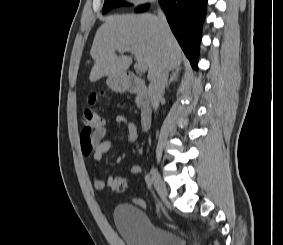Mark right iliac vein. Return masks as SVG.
Segmentation results:
<instances>
[{
  "mask_svg": "<svg viewBox=\"0 0 283 245\" xmlns=\"http://www.w3.org/2000/svg\"><path fill=\"white\" fill-rule=\"evenodd\" d=\"M152 180H153V183H154V186H155V189L158 193V195L160 196V198L163 200V202H167V189L163 183V181L161 180L160 178V175L158 173V171L153 168L152 171Z\"/></svg>",
  "mask_w": 283,
  "mask_h": 245,
  "instance_id": "right-iliac-vein-1",
  "label": "right iliac vein"
}]
</instances>
